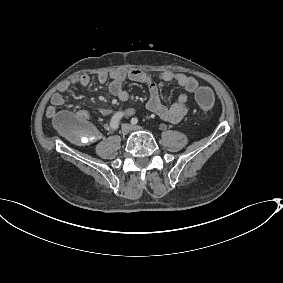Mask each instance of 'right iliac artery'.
I'll return each instance as SVG.
<instances>
[{
	"label": "right iliac artery",
	"instance_id": "82829eb1",
	"mask_svg": "<svg viewBox=\"0 0 283 283\" xmlns=\"http://www.w3.org/2000/svg\"><path fill=\"white\" fill-rule=\"evenodd\" d=\"M124 116V113L123 112H117L114 114V116L111 118V121H110V126L113 130H116L118 129V126H119V122L121 120V118Z\"/></svg>",
	"mask_w": 283,
	"mask_h": 283
}]
</instances>
